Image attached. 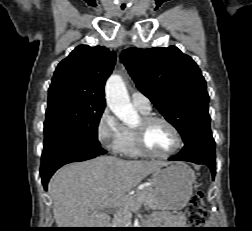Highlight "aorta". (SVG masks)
Masks as SVG:
<instances>
[{"label": "aorta", "mask_w": 252, "mask_h": 231, "mask_svg": "<svg viewBox=\"0 0 252 231\" xmlns=\"http://www.w3.org/2000/svg\"><path fill=\"white\" fill-rule=\"evenodd\" d=\"M106 102L111 111L125 124H132L138 119L133 108L123 79L119 75H111L105 86Z\"/></svg>", "instance_id": "762f6f07"}]
</instances>
